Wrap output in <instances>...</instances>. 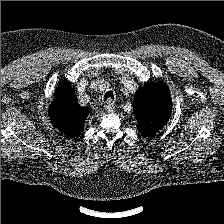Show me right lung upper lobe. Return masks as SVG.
I'll list each match as a JSON object with an SVG mask.
<instances>
[{
    "instance_id": "right-lung-upper-lobe-1",
    "label": "right lung upper lobe",
    "mask_w": 224,
    "mask_h": 224,
    "mask_svg": "<svg viewBox=\"0 0 224 224\" xmlns=\"http://www.w3.org/2000/svg\"><path fill=\"white\" fill-rule=\"evenodd\" d=\"M88 113V108L78 104L71 83L62 82L56 89L48 111L52 125L62 134L74 138L83 131Z\"/></svg>"
}]
</instances>
